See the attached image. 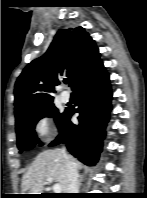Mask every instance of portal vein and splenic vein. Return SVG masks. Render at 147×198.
I'll use <instances>...</instances> for the list:
<instances>
[{
  "instance_id": "18ae733b",
  "label": "portal vein and splenic vein",
  "mask_w": 147,
  "mask_h": 198,
  "mask_svg": "<svg viewBox=\"0 0 147 198\" xmlns=\"http://www.w3.org/2000/svg\"><path fill=\"white\" fill-rule=\"evenodd\" d=\"M47 182L52 183L53 179L52 178H47ZM53 192L54 193H61L62 192V187L60 184L56 183L53 185Z\"/></svg>"
}]
</instances>
